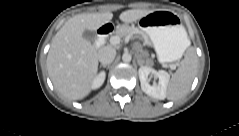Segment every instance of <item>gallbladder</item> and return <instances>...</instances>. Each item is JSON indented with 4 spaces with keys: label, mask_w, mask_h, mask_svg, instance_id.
<instances>
[{
    "label": "gallbladder",
    "mask_w": 239,
    "mask_h": 136,
    "mask_svg": "<svg viewBox=\"0 0 239 136\" xmlns=\"http://www.w3.org/2000/svg\"><path fill=\"white\" fill-rule=\"evenodd\" d=\"M83 38L86 39L87 41H89L90 43H94L97 36H96V33L94 31L85 30L83 32Z\"/></svg>",
    "instance_id": "1"
}]
</instances>
